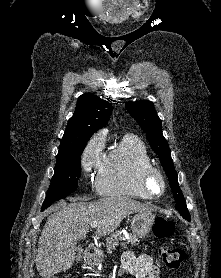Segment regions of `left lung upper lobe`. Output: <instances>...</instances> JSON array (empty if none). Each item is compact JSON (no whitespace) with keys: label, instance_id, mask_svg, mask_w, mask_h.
<instances>
[{"label":"left lung upper lobe","instance_id":"5c2ea615","mask_svg":"<svg viewBox=\"0 0 221 278\" xmlns=\"http://www.w3.org/2000/svg\"><path fill=\"white\" fill-rule=\"evenodd\" d=\"M127 111L146 132L147 140L154 152L160 157V162L168 175L169 183L175 198L176 208L185 219H190L186 201L177 180L169 145L162 134V123L154 105L150 101L128 102L125 104Z\"/></svg>","mask_w":221,"mask_h":278}]
</instances>
